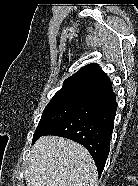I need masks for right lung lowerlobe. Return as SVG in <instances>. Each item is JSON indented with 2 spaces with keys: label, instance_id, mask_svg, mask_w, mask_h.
I'll return each mask as SVG.
<instances>
[{
  "label": "right lung lower lobe",
  "instance_id": "98d812e1",
  "mask_svg": "<svg viewBox=\"0 0 138 186\" xmlns=\"http://www.w3.org/2000/svg\"><path fill=\"white\" fill-rule=\"evenodd\" d=\"M117 102L112 89L92 90L89 101L56 123L45 135L61 136L87 148L99 176L110 150Z\"/></svg>",
  "mask_w": 138,
  "mask_h": 186
}]
</instances>
